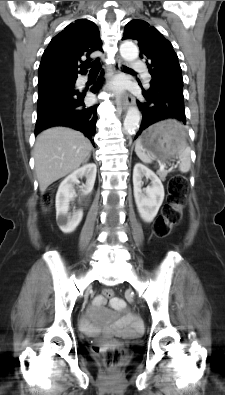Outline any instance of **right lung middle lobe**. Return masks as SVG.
I'll return each instance as SVG.
<instances>
[{"instance_id":"1","label":"right lung middle lobe","mask_w":225,"mask_h":395,"mask_svg":"<svg viewBox=\"0 0 225 395\" xmlns=\"http://www.w3.org/2000/svg\"><path fill=\"white\" fill-rule=\"evenodd\" d=\"M74 82L75 81H66V82L55 84V85L39 87L38 98L46 95L48 92H50L51 90H54L56 88L65 87V86H73Z\"/></svg>"}]
</instances>
